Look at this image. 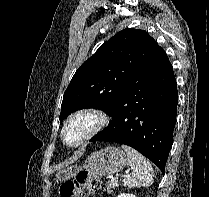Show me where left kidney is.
<instances>
[{
  "instance_id": "obj_1",
  "label": "left kidney",
  "mask_w": 209,
  "mask_h": 197,
  "mask_svg": "<svg viewBox=\"0 0 209 197\" xmlns=\"http://www.w3.org/2000/svg\"><path fill=\"white\" fill-rule=\"evenodd\" d=\"M117 197H136V196L133 194H129V193H122V194H119Z\"/></svg>"
}]
</instances>
